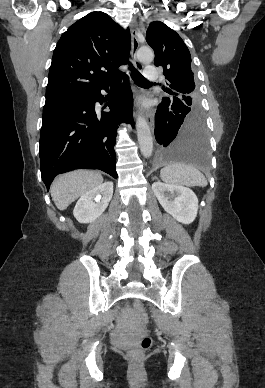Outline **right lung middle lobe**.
<instances>
[{
  "instance_id": "dd1d6c3e",
  "label": "right lung middle lobe",
  "mask_w": 265,
  "mask_h": 388,
  "mask_svg": "<svg viewBox=\"0 0 265 388\" xmlns=\"http://www.w3.org/2000/svg\"><path fill=\"white\" fill-rule=\"evenodd\" d=\"M61 100H62V99H61ZM58 101H60V100L46 101L44 107L49 106V105H51V104H53V103H55V102H58Z\"/></svg>"
}]
</instances>
